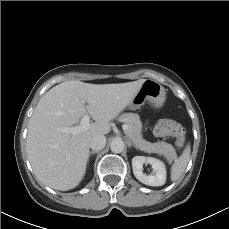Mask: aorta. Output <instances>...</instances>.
Returning <instances> with one entry per match:
<instances>
[{
  "mask_svg": "<svg viewBox=\"0 0 229 229\" xmlns=\"http://www.w3.org/2000/svg\"><path fill=\"white\" fill-rule=\"evenodd\" d=\"M125 144L122 139L115 138L110 143V149L114 153H121L124 150Z\"/></svg>",
  "mask_w": 229,
  "mask_h": 229,
  "instance_id": "aorta-1",
  "label": "aorta"
}]
</instances>
